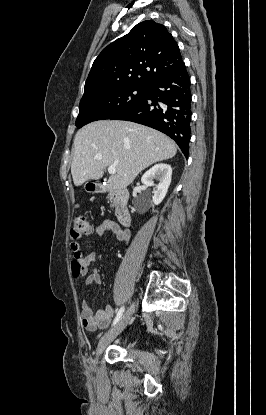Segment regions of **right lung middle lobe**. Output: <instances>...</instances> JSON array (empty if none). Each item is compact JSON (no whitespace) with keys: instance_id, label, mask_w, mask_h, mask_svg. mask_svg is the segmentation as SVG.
I'll use <instances>...</instances> for the list:
<instances>
[{"instance_id":"dd1d6c3e","label":"right lung middle lobe","mask_w":266,"mask_h":415,"mask_svg":"<svg viewBox=\"0 0 266 415\" xmlns=\"http://www.w3.org/2000/svg\"><path fill=\"white\" fill-rule=\"evenodd\" d=\"M147 91V87L122 86L82 98L75 125L81 128L93 121L110 119L139 103Z\"/></svg>"}]
</instances>
